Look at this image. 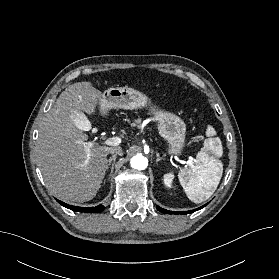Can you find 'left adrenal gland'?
Segmentation results:
<instances>
[{
    "label": "left adrenal gland",
    "instance_id": "1",
    "mask_svg": "<svg viewBox=\"0 0 279 279\" xmlns=\"http://www.w3.org/2000/svg\"><path fill=\"white\" fill-rule=\"evenodd\" d=\"M156 157H157L156 163H158V162L161 161V160H164V158L160 157V155H159L158 152H156Z\"/></svg>",
    "mask_w": 279,
    "mask_h": 279
}]
</instances>
